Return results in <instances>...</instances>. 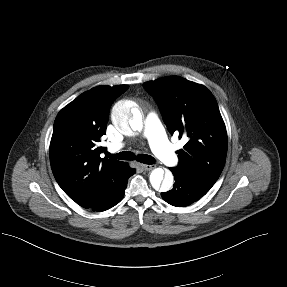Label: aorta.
<instances>
[{
  "label": "aorta",
  "instance_id": "aorta-1",
  "mask_svg": "<svg viewBox=\"0 0 287 287\" xmlns=\"http://www.w3.org/2000/svg\"><path fill=\"white\" fill-rule=\"evenodd\" d=\"M111 118L114 126L121 132H126L129 129L133 131H141L143 129L140 110L124 102L117 103L113 107ZM149 179L152 187L162 192L169 191L174 182L172 173L168 172L164 177V170L162 168L154 169Z\"/></svg>",
  "mask_w": 287,
  "mask_h": 287
}]
</instances>
